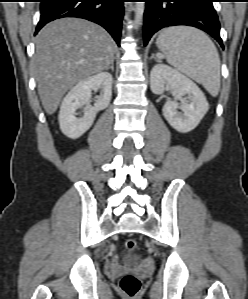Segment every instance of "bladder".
<instances>
[{
	"label": "bladder",
	"instance_id": "31cf9c89",
	"mask_svg": "<svg viewBox=\"0 0 248 299\" xmlns=\"http://www.w3.org/2000/svg\"><path fill=\"white\" fill-rule=\"evenodd\" d=\"M124 263L129 266H135V265H137V259L134 257H130V258L125 259Z\"/></svg>",
	"mask_w": 248,
	"mask_h": 299
}]
</instances>
